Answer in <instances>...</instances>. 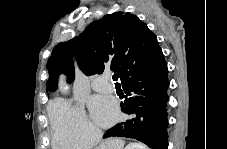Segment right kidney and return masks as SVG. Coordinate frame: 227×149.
<instances>
[{"instance_id":"right-kidney-1","label":"right kidney","mask_w":227,"mask_h":149,"mask_svg":"<svg viewBox=\"0 0 227 149\" xmlns=\"http://www.w3.org/2000/svg\"><path fill=\"white\" fill-rule=\"evenodd\" d=\"M126 149H145V148H144V145L135 143V144H129L126 147ZM146 149H147V147H146Z\"/></svg>"}]
</instances>
